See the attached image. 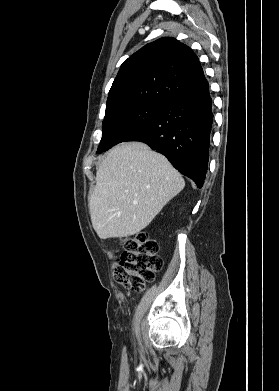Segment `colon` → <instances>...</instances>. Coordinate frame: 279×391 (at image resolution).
I'll use <instances>...</instances> for the list:
<instances>
[{"mask_svg": "<svg viewBox=\"0 0 279 391\" xmlns=\"http://www.w3.org/2000/svg\"><path fill=\"white\" fill-rule=\"evenodd\" d=\"M158 251L157 241L145 232L125 238L121 260L113 272L116 283L131 292L142 291L163 267Z\"/></svg>", "mask_w": 279, "mask_h": 391, "instance_id": "obj_1", "label": "colon"}]
</instances>
